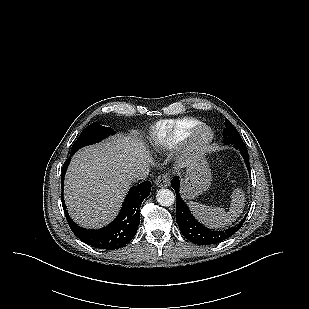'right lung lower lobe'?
<instances>
[{
	"label": "right lung lower lobe",
	"mask_w": 309,
	"mask_h": 309,
	"mask_svg": "<svg viewBox=\"0 0 309 309\" xmlns=\"http://www.w3.org/2000/svg\"><path fill=\"white\" fill-rule=\"evenodd\" d=\"M73 154L71 153V156ZM70 160L71 158H68L62 168V185ZM150 190V181L131 188L115 220L99 230L81 228L74 223L66 210L63 195L62 205L71 230L80 240L98 249L114 250L128 244L135 236L140 223V206L143 199L150 194Z\"/></svg>",
	"instance_id": "obj_1"
}]
</instances>
